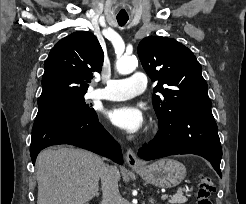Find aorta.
<instances>
[{
	"label": "aorta",
	"instance_id": "1",
	"mask_svg": "<svg viewBox=\"0 0 246 204\" xmlns=\"http://www.w3.org/2000/svg\"><path fill=\"white\" fill-rule=\"evenodd\" d=\"M138 65L135 56H122L116 62V69L120 74H129L133 72Z\"/></svg>",
	"mask_w": 246,
	"mask_h": 204
}]
</instances>
